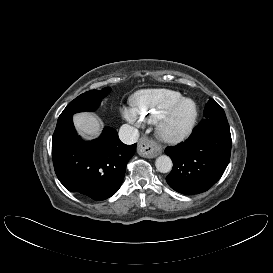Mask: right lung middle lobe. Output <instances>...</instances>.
Wrapping results in <instances>:
<instances>
[{"label":"right lung middle lobe","mask_w":273,"mask_h":273,"mask_svg":"<svg viewBox=\"0 0 273 273\" xmlns=\"http://www.w3.org/2000/svg\"><path fill=\"white\" fill-rule=\"evenodd\" d=\"M109 91L110 88L106 87L103 90H91L79 95L63 110L58 118V122L70 118L73 114L78 112L95 110L101 99L109 93Z\"/></svg>","instance_id":"dd1d6c3e"}]
</instances>
